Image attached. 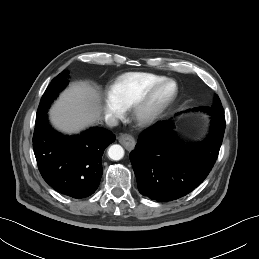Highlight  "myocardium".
<instances>
[{
    "label": "myocardium",
    "mask_w": 259,
    "mask_h": 259,
    "mask_svg": "<svg viewBox=\"0 0 259 259\" xmlns=\"http://www.w3.org/2000/svg\"><path fill=\"white\" fill-rule=\"evenodd\" d=\"M173 85L174 89L171 95L159 105L151 108V101L154 95L164 86ZM179 94L177 82L170 78H165L141 93L130 105V114L132 119L141 127H147L155 124L163 114L173 105Z\"/></svg>",
    "instance_id": "obj_1"
}]
</instances>
